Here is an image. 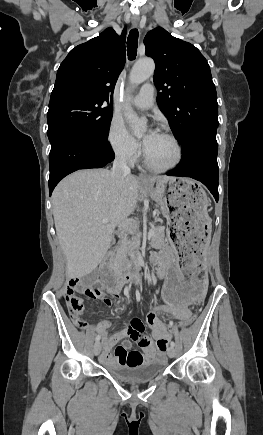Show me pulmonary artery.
Instances as JSON below:
<instances>
[{
	"label": "pulmonary artery",
	"mask_w": 263,
	"mask_h": 435,
	"mask_svg": "<svg viewBox=\"0 0 263 435\" xmlns=\"http://www.w3.org/2000/svg\"><path fill=\"white\" fill-rule=\"evenodd\" d=\"M154 88L151 84H144L139 93L131 98V102L140 109H149L153 106Z\"/></svg>",
	"instance_id": "obj_1"
}]
</instances>
